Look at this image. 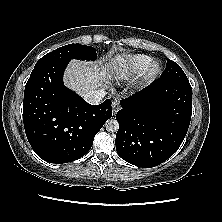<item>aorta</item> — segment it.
Here are the masks:
<instances>
[{"instance_id":"762f6f07","label":"aorta","mask_w":222,"mask_h":222,"mask_svg":"<svg viewBox=\"0 0 222 222\" xmlns=\"http://www.w3.org/2000/svg\"><path fill=\"white\" fill-rule=\"evenodd\" d=\"M105 127L108 132H117L119 129V123L116 119H109L106 121Z\"/></svg>"}]
</instances>
